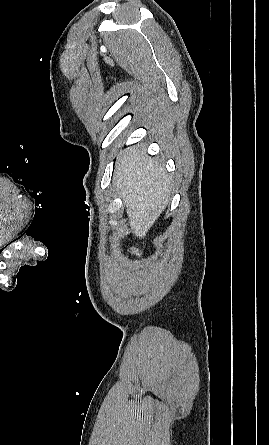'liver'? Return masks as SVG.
Returning <instances> with one entry per match:
<instances>
[{
  "mask_svg": "<svg viewBox=\"0 0 269 445\" xmlns=\"http://www.w3.org/2000/svg\"><path fill=\"white\" fill-rule=\"evenodd\" d=\"M114 184L122 198L130 227L144 238L169 202L171 178L164 166L134 146L118 158Z\"/></svg>",
  "mask_w": 269,
  "mask_h": 445,
  "instance_id": "obj_1",
  "label": "liver"
}]
</instances>
